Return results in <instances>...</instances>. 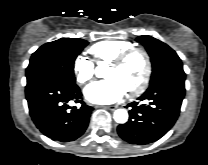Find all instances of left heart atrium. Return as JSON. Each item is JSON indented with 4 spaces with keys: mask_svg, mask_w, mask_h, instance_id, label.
Returning <instances> with one entry per match:
<instances>
[{
    "mask_svg": "<svg viewBox=\"0 0 208 165\" xmlns=\"http://www.w3.org/2000/svg\"><path fill=\"white\" fill-rule=\"evenodd\" d=\"M125 93V88L115 78L94 82L85 89L86 98L95 104L114 103L120 100Z\"/></svg>",
    "mask_w": 208,
    "mask_h": 165,
    "instance_id": "39dd6f15",
    "label": "left heart atrium"
}]
</instances>
